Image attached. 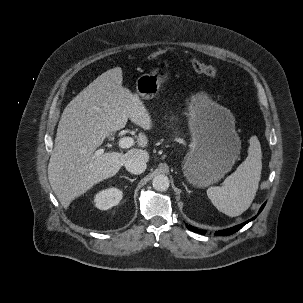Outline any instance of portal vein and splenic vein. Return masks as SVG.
Wrapping results in <instances>:
<instances>
[{"mask_svg": "<svg viewBox=\"0 0 303 303\" xmlns=\"http://www.w3.org/2000/svg\"><path fill=\"white\" fill-rule=\"evenodd\" d=\"M134 139L131 138V137H122L119 139L118 141V146L122 149H127V148H130L134 145ZM102 153H104V150L103 149H98L96 152H95V156H99L101 155Z\"/></svg>", "mask_w": 303, "mask_h": 303, "instance_id": "18ae733b", "label": "portal vein and splenic vein"}]
</instances>
